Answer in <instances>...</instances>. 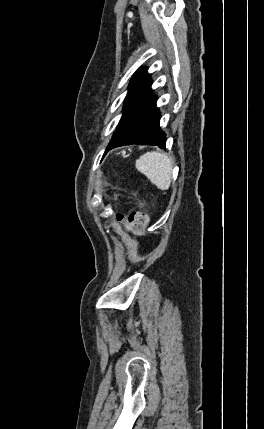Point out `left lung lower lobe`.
Returning <instances> with one entry per match:
<instances>
[{
    "mask_svg": "<svg viewBox=\"0 0 264 429\" xmlns=\"http://www.w3.org/2000/svg\"><path fill=\"white\" fill-rule=\"evenodd\" d=\"M156 100L151 93L138 105L119 137L108 145L107 150L130 144L165 148L166 135L159 127L160 113Z\"/></svg>",
    "mask_w": 264,
    "mask_h": 429,
    "instance_id": "1",
    "label": "left lung lower lobe"
}]
</instances>
